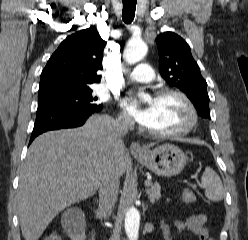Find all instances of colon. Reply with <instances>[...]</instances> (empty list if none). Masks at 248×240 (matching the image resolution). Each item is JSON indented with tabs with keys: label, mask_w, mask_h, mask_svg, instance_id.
I'll list each match as a JSON object with an SVG mask.
<instances>
[{
	"label": "colon",
	"mask_w": 248,
	"mask_h": 240,
	"mask_svg": "<svg viewBox=\"0 0 248 240\" xmlns=\"http://www.w3.org/2000/svg\"><path fill=\"white\" fill-rule=\"evenodd\" d=\"M182 199L187 204H192L196 201V195L191 189H184L182 193ZM44 240H62V237L59 232L54 231L48 234Z\"/></svg>",
	"instance_id": "colon-1"
}]
</instances>
